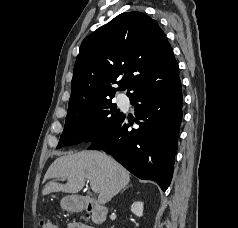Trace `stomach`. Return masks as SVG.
Instances as JSON below:
<instances>
[{"instance_id":"0dacf381","label":"stomach","mask_w":238,"mask_h":228,"mask_svg":"<svg viewBox=\"0 0 238 228\" xmlns=\"http://www.w3.org/2000/svg\"><path fill=\"white\" fill-rule=\"evenodd\" d=\"M61 206L69 211H77L82 209V204L76 196H66L61 200Z\"/></svg>"}]
</instances>
